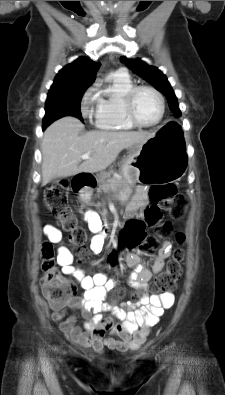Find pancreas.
I'll return each mask as SVG.
<instances>
[{
	"label": "pancreas",
	"instance_id": "cf45deb5",
	"mask_svg": "<svg viewBox=\"0 0 225 395\" xmlns=\"http://www.w3.org/2000/svg\"><path fill=\"white\" fill-rule=\"evenodd\" d=\"M99 182L102 183L99 185V188L97 189L98 193H101L102 190L104 192L107 191H116L118 190L122 185L125 184V181L122 177H110V173H104L99 177Z\"/></svg>",
	"mask_w": 225,
	"mask_h": 395
}]
</instances>
